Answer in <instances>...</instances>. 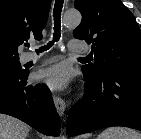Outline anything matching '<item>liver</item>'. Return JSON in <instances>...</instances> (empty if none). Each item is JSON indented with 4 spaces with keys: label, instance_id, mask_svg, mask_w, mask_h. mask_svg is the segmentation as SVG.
I'll return each mask as SVG.
<instances>
[{
    "label": "liver",
    "instance_id": "liver-1",
    "mask_svg": "<svg viewBox=\"0 0 141 139\" xmlns=\"http://www.w3.org/2000/svg\"><path fill=\"white\" fill-rule=\"evenodd\" d=\"M30 126L5 114H0V139H26Z\"/></svg>",
    "mask_w": 141,
    "mask_h": 139
}]
</instances>
